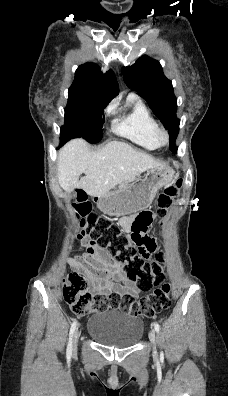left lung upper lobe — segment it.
Returning <instances> with one entry per match:
<instances>
[{"label": "left lung upper lobe", "instance_id": "5c2ea615", "mask_svg": "<svg viewBox=\"0 0 228 396\" xmlns=\"http://www.w3.org/2000/svg\"><path fill=\"white\" fill-rule=\"evenodd\" d=\"M126 85L137 91L148 103L154 114L164 124L170 135L169 148L177 152L175 140L180 120L176 117L177 99L172 82L164 74L160 63L148 56L140 57L135 64L123 68Z\"/></svg>", "mask_w": 228, "mask_h": 396}]
</instances>
